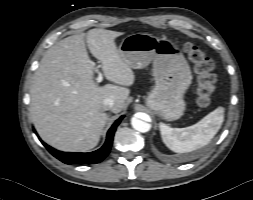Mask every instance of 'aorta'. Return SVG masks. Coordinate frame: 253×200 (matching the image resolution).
<instances>
[{
  "label": "aorta",
  "mask_w": 253,
  "mask_h": 200,
  "mask_svg": "<svg viewBox=\"0 0 253 200\" xmlns=\"http://www.w3.org/2000/svg\"><path fill=\"white\" fill-rule=\"evenodd\" d=\"M132 127L142 133L148 132L151 128V125L145 121H142L138 118H132L131 120Z\"/></svg>",
  "instance_id": "obj_1"
}]
</instances>
